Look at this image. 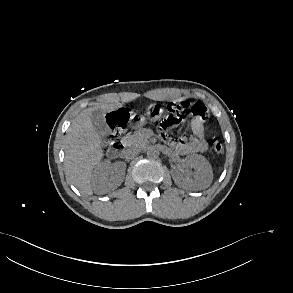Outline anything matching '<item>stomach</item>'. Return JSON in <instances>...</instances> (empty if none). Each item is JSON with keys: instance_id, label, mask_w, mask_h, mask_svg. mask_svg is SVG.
I'll return each instance as SVG.
<instances>
[{"instance_id": "obj_1", "label": "stomach", "mask_w": 293, "mask_h": 293, "mask_svg": "<svg viewBox=\"0 0 293 293\" xmlns=\"http://www.w3.org/2000/svg\"><path fill=\"white\" fill-rule=\"evenodd\" d=\"M164 109L157 103L151 104L147 108L146 115L133 114L131 116V124L135 128L144 126L148 121L155 122L163 115Z\"/></svg>"}]
</instances>
